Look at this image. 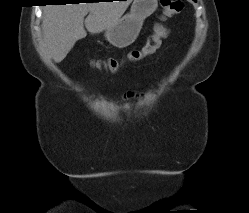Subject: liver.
<instances>
[{"instance_id":"obj_1","label":"liver","mask_w":249,"mask_h":213,"mask_svg":"<svg viewBox=\"0 0 249 213\" xmlns=\"http://www.w3.org/2000/svg\"><path fill=\"white\" fill-rule=\"evenodd\" d=\"M132 0L47 5L43 10V43L56 63L61 62L75 43L115 25ZM89 13L84 21V17Z\"/></svg>"}]
</instances>
